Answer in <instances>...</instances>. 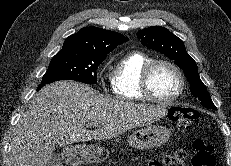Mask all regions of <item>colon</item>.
Returning <instances> with one entry per match:
<instances>
[{
	"label": "colon",
	"mask_w": 231,
	"mask_h": 166,
	"mask_svg": "<svg viewBox=\"0 0 231 166\" xmlns=\"http://www.w3.org/2000/svg\"><path fill=\"white\" fill-rule=\"evenodd\" d=\"M169 117L179 130H187L199 118V112L190 107H174L168 112ZM194 154L191 159L192 166H215V156L212 146L201 139L193 143ZM185 153L177 151L167 155L162 162L151 161L146 166H184Z\"/></svg>",
	"instance_id": "1"
}]
</instances>
